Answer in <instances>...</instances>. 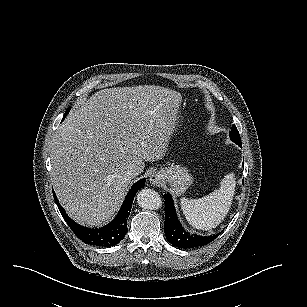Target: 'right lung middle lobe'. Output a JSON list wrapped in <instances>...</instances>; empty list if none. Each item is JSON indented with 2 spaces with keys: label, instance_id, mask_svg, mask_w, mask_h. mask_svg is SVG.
Here are the masks:
<instances>
[{
  "label": "right lung middle lobe",
  "instance_id": "dd1d6c3e",
  "mask_svg": "<svg viewBox=\"0 0 307 307\" xmlns=\"http://www.w3.org/2000/svg\"><path fill=\"white\" fill-rule=\"evenodd\" d=\"M68 111H69V109H67V110H66L65 115H64V117H63V119H62V120H64V118L66 117V115H67Z\"/></svg>",
  "mask_w": 307,
  "mask_h": 307
}]
</instances>
